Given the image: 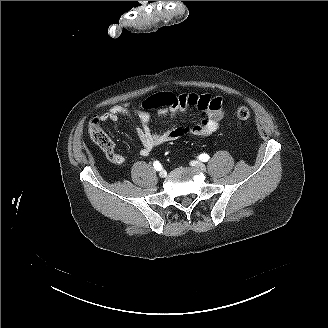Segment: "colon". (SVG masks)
<instances>
[{
	"instance_id": "obj_1",
	"label": "colon",
	"mask_w": 328,
	"mask_h": 328,
	"mask_svg": "<svg viewBox=\"0 0 328 328\" xmlns=\"http://www.w3.org/2000/svg\"><path fill=\"white\" fill-rule=\"evenodd\" d=\"M179 102L177 95L170 92H161L154 94L145 99L141 107L143 109H153L174 106ZM251 116L250 110L247 107H240L236 111L237 119L241 121L248 120ZM88 131L93 142L105 153L114 149L111 138L104 132L101 127L99 117H93L88 126Z\"/></svg>"
}]
</instances>
